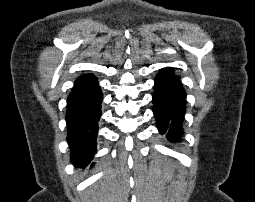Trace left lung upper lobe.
Returning <instances> with one entry per match:
<instances>
[{"label":"left lung upper lobe","mask_w":255,"mask_h":202,"mask_svg":"<svg viewBox=\"0 0 255 202\" xmlns=\"http://www.w3.org/2000/svg\"><path fill=\"white\" fill-rule=\"evenodd\" d=\"M160 71H164V72L170 74L172 77H174V78H176V79H179V78H180L179 76L174 75L173 69L167 68V70L161 69Z\"/></svg>","instance_id":"left-lung-upper-lobe-1"}]
</instances>
